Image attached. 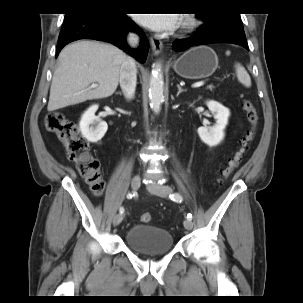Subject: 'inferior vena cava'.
Returning <instances> with one entry per match:
<instances>
[{"label": "inferior vena cava", "mask_w": 303, "mask_h": 303, "mask_svg": "<svg viewBox=\"0 0 303 303\" xmlns=\"http://www.w3.org/2000/svg\"><path fill=\"white\" fill-rule=\"evenodd\" d=\"M127 41L130 46L136 47L139 43V37L136 34L130 33ZM136 74L135 60L132 57L125 56L120 70V87L127 99H131L134 95L137 81Z\"/></svg>", "instance_id": "inferior-vena-cava-1"}]
</instances>
